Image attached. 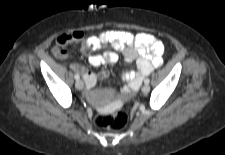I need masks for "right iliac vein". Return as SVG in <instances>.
Returning a JSON list of instances; mask_svg holds the SVG:
<instances>
[{"label":"right iliac vein","instance_id":"63e3f726","mask_svg":"<svg viewBox=\"0 0 225 155\" xmlns=\"http://www.w3.org/2000/svg\"><path fill=\"white\" fill-rule=\"evenodd\" d=\"M75 87L78 90H81L83 88V82L81 80H77L75 83Z\"/></svg>","mask_w":225,"mask_h":155}]
</instances>
